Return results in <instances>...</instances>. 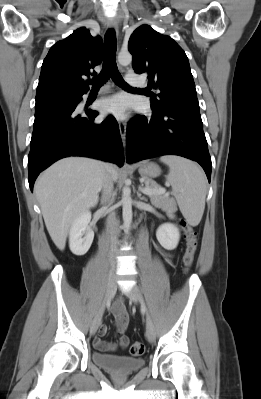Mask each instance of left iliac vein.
I'll use <instances>...</instances> for the list:
<instances>
[{"label":"left iliac vein","instance_id":"4c4485c4","mask_svg":"<svg viewBox=\"0 0 261 399\" xmlns=\"http://www.w3.org/2000/svg\"><path fill=\"white\" fill-rule=\"evenodd\" d=\"M124 293L134 302L138 303L139 301H142V296L140 290L136 287L133 286L128 290H124ZM146 337L150 342H154L155 337H156V332H155V327L150 319V317H147V322H146Z\"/></svg>","mask_w":261,"mask_h":399}]
</instances>
